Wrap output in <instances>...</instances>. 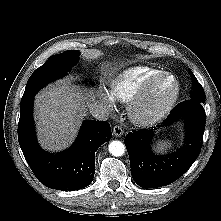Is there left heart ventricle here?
I'll return each mask as SVG.
<instances>
[{
    "label": "left heart ventricle",
    "instance_id": "1",
    "mask_svg": "<svg viewBox=\"0 0 221 221\" xmlns=\"http://www.w3.org/2000/svg\"><path fill=\"white\" fill-rule=\"evenodd\" d=\"M174 83L171 79L166 78L156 83L147 96L143 110L150 111L159 107L171 95Z\"/></svg>",
    "mask_w": 221,
    "mask_h": 221
}]
</instances>
